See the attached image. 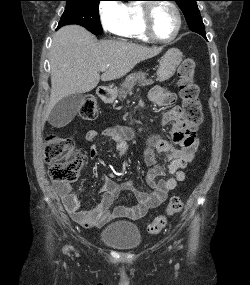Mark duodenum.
<instances>
[{
    "instance_id": "410a0bca",
    "label": "duodenum",
    "mask_w": 250,
    "mask_h": 285,
    "mask_svg": "<svg viewBox=\"0 0 250 285\" xmlns=\"http://www.w3.org/2000/svg\"><path fill=\"white\" fill-rule=\"evenodd\" d=\"M97 94L103 102L108 103L111 101L112 93L109 88L101 86L97 89Z\"/></svg>"
}]
</instances>
